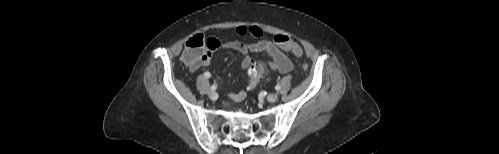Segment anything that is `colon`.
<instances>
[{
    "label": "colon",
    "mask_w": 499,
    "mask_h": 154,
    "mask_svg": "<svg viewBox=\"0 0 499 154\" xmlns=\"http://www.w3.org/2000/svg\"><path fill=\"white\" fill-rule=\"evenodd\" d=\"M274 43L280 48L292 52L297 57L303 56L302 47L285 34L274 36ZM210 48L208 40L202 34H196L185 43L182 59L186 65L191 68L198 67L202 62L210 57ZM303 71L307 70V64H302ZM264 70L263 63L254 62L249 69V88H254L261 78Z\"/></svg>",
    "instance_id": "5ec220e1"
}]
</instances>
